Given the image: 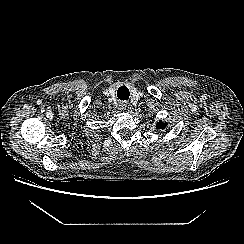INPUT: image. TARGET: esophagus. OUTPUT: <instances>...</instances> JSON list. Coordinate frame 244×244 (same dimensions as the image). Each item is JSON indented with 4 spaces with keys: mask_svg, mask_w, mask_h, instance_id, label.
<instances>
[{
    "mask_svg": "<svg viewBox=\"0 0 244 244\" xmlns=\"http://www.w3.org/2000/svg\"><path fill=\"white\" fill-rule=\"evenodd\" d=\"M120 106H121L122 110H125L127 108V103L126 102H122Z\"/></svg>",
    "mask_w": 244,
    "mask_h": 244,
    "instance_id": "obj_1",
    "label": "esophagus"
}]
</instances>
